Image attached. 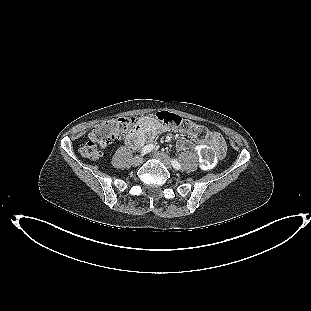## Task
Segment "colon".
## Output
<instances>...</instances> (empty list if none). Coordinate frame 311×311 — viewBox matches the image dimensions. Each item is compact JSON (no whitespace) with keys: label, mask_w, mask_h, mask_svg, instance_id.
Returning <instances> with one entry per match:
<instances>
[{"label":"colon","mask_w":311,"mask_h":311,"mask_svg":"<svg viewBox=\"0 0 311 311\" xmlns=\"http://www.w3.org/2000/svg\"><path fill=\"white\" fill-rule=\"evenodd\" d=\"M156 116L160 122L177 127L180 131L190 135L198 143H204L206 141L216 142V146L203 147L200 150V158L204 165L211 166L218 158L224 155L225 147L223 140L209 132L205 127L168 111H160ZM136 126L135 118L129 116L115 117L101 121L91 129L88 140L80 147L81 155L91 160L100 158L103 150L109 144L115 140L124 138Z\"/></svg>","instance_id":"obj_1"}]
</instances>
